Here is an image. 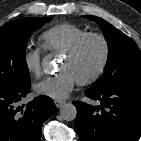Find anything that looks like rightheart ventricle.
Instances as JSON below:
<instances>
[{
	"mask_svg": "<svg viewBox=\"0 0 141 141\" xmlns=\"http://www.w3.org/2000/svg\"><path fill=\"white\" fill-rule=\"evenodd\" d=\"M86 33L85 29L77 25L61 23L44 31L40 39L45 49L65 53Z\"/></svg>",
	"mask_w": 141,
	"mask_h": 141,
	"instance_id": "right-heart-ventricle-1",
	"label": "right heart ventricle"
}]
</instances>
